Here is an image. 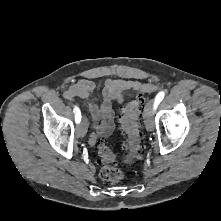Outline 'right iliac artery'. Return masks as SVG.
<instances>
[{
  "label": "right iliac artery",
  "instance_id": "1",
  "mask_svg": "<svg viewBox=\"0 0 221 221\" xmlns=\"http://www.w3.org/2000/svg\"><path fill=\"white\" fill-rule=\"evenodd\" d=\"M73 112L75 113V122L78 124L81 121V111L77 106H74Z\"/></svg>",
  "mask_w": 221,
  "mask_h": 221
}]
</instances>
